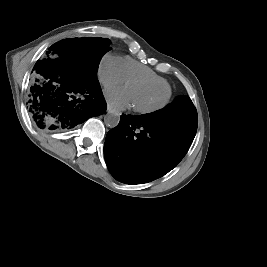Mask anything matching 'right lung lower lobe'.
Listing matches in <instances>:
<instances>
[{
    "label": "right lung lower lobe",
    "instance_id": "1",
    "mask_svg": "<svg viewBox=\"0 0 267 267\" xmlns=\"http://www.w3.org/2000/svg\"><path fill=\"white\" fill-rule=\"evenodd\" d=\"M34 66L28 108L40 129L66 131L93 116L103 114L107 104L98 80L82 76L68 58L53 55Z\"/></svg>",
    "mask_w": 267,
    "mask_h": 267
}]
</instances>
